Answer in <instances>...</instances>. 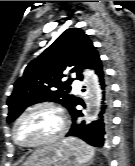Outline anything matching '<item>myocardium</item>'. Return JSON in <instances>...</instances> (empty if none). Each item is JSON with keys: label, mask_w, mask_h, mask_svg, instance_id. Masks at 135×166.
I'll return each mask as SVG.
<instances>
[{"label": "myocardium", "mask_w": 135, "mask_h": 166, "mask_svg": "<svg viewBox=\"0 0 135 166\" xmlns=\"http://www.w3.org/2000/svg\"><path fill=\"white\" fill-rule=\"evenodd\" d=\"M38 109H50L54 112L57 113L58 117H59V128L57 130V132L52 135L51 137L35 142V143H31V144H25V143H21L18 141L17 137H16V129L18 124L20 123V121L30 112L34 111V110H38ZM66 127H67V118L64 112V109L53 103V102H40V103H36L33 104L29 107H27L15 120L13 127H12V139L15 142V144H17L20 147L23 148H36V147H41V146H45V145H50L52 143H55L56 141H58L59 139H61V137L64 135L65 131H66Z\"/></svg>", "instance_id": "obj_1"}]
</instances>
